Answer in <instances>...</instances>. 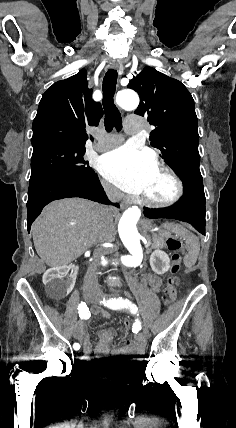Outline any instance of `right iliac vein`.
Instances as JSON below:
<instances>
[{
    "label": "right iliac vein",
    "instance_id": "63e3f726",
    "mask_svg": "<svg viewBox=\"0 0 236 428\" xmlns=\"http://www.w3.org/2000/svg\"><path fill=\"white\" fill-rule=\"evenodd\" d=\"M94 299H96V297H95V295L94 294H87L86 295V297H85V300H86V302L89 304V305H92V301L94 300ZM83 339L82 340H80V346H83Z\"/></svg>",
    "mask_w": 236,
    "mask_h": 428
}]
</instances>
